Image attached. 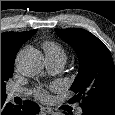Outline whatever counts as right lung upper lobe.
<instances>
[{
	"label": "right lung upper lobe",
	"mask_w": 115,
	"mask_h": 115,
	"mask_svg": "<svg viewBox=\"0 0 115 115\" xmlns=\"http://www.w3.org/2000/svg\"><path fill=\"white\" fill-rule=\"evenodd\" d=\"M35 30L27 32H5L1 34V79L10 78L14 71V61L19 48L30 39Z\"/></svg>",
	"instance_id": "1"
}]
</instances>
